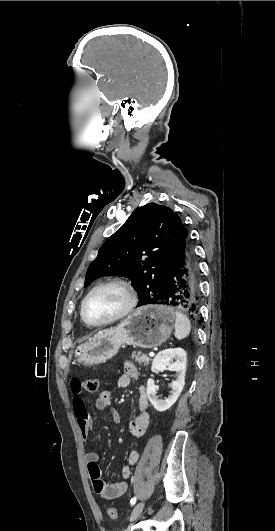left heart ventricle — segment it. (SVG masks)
<instances>
[{
	"instance_id": "b2bd125f",
	"label": "left heart ventricle",
	"mask_w": 275,
	"mask_h": 531,
	"mask_svg": "<svg viewBox=\"0 0 275 531\" xmlns=\"http://www.w3.org/2000/svg\"><path fill=\"white\" fill-rule=\"evenodd\" d=\"M126 297L117 287H106L92 294L84 304V316L89 322L106 320L124 309Z\"/></svg>"
}]
</instances>
